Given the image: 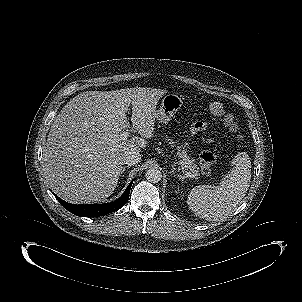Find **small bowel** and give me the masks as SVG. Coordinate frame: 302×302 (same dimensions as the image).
<instances>
[{"label":"small bowel","mask_w":302,"mask_h":302,"mask_svg":"<svg viewBox=\"0 0 302 302\" xmlns=\"http://www.w3.org/2000/svg\"><path fill=\"white\" fill-rule=\"evenodd\" d=\"M204 128H205V124L203 122H195L192 125V130L194 132H199V131L203 130Z\"/></svg>","instance_id":"1"}]
</instances>
